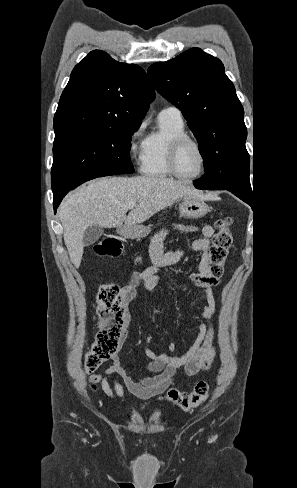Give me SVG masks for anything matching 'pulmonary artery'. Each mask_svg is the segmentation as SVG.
Wrapping results in <instances>:
<instances>
[{"mask_svg": "<svg viewBox=\"0 0 297 488\" xmlns=\"http://www.w3.org/2000/svg\"><path fill=\"white\" fill-rule=\"evenodd\" d=\"M160 115H162V116H173V117H177V118H182L181 117L180 110L177 107H174V106H170V107H167V108L163 109L161 111Z\"/></svg>", "mask_w": 297, "mask_h": 488, "instance_id": "obj_1", "label": "pulmonary artery"}]
</instances>
